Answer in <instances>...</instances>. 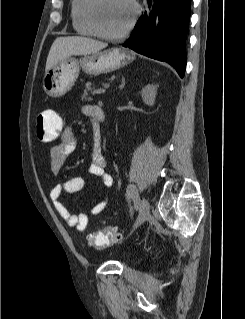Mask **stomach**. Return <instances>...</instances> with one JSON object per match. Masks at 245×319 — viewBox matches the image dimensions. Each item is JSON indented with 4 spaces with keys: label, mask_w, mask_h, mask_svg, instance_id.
<instances>
[{
    "label": "stomach",
    "mask_w": 245,
    "mask_h": 319,
    "mask_svg": "<svg viewBox=\"0 0 245 319\" xmlns=\"http://www.w3.org/2000/svg\"><path fill=\"white\" fill-rule=\"evenodd\" d=\"M132 59L130 53L120 48L86 55L80 59L69 56L45 73L43 89L51 97H61L73 87L81 68L89 74L106 73L126 65Z\"/></svg>",
    "instance_id": "0dacf381"
}]
</instances>
